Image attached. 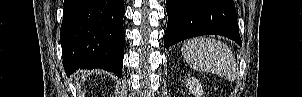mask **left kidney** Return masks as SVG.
<instances>
[{"label":"left kidney","instance_id":"5707ae66","mask_svg":"<svg viewBox=\"0 0 302 97\" xmlns=\"http://www.w3.org/2000/svg\"><path fill=\"white\" fill-rule=\"evenodd\" d=\"M185 83L186 87L193 95L197 97H201L203 95V87L196 78L188 76Z\"/></svg>","mask_w":302,"mask_h":97}]
</instances>
